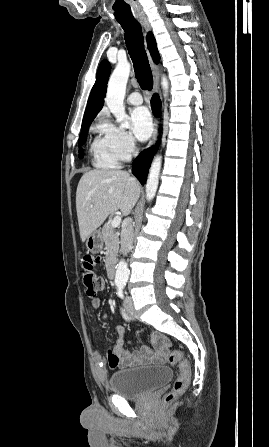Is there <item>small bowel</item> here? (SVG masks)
Instances as JSON below:
<instances>
[{
  "mask_svg": "<svg viewBox=\"0 0 269 447\" xmlns=\"http://www.w3.org/2000/svg\"><path fill=\"white\" fill-rule=\"evenodd\" d=\"M100 300L94 299L91 303L92 309L97 310L100 307ZM102 319H107L108 314H102ZM117 341L114 346L115 352L121 357V366L129 368L142 362L159 363L165 360L166 353L161 344V340L168 338V333L164 331H156L151 335L152 346L144 345L140 350L131 352L125 347L126 332L123 326H117ZM161 339V340H160Z\"/></svg>",
  "mask_w": 269,
  "mask_h": 447,
  "instance_id": "1",
  "label": "small bowel"
}]
</instances>
